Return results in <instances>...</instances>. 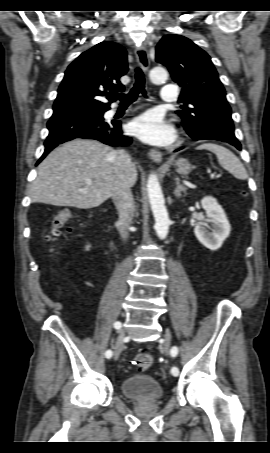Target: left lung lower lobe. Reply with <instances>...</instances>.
I'll list each match as a JSON object with an SVG mask.
<instances>
[{
	"instance_id": "obj_1",
	"label": "left lung lower lobe",
	"mask_w": 270,
	"mask_h": 453,
	"mask_svg": "<svg viewBox=\"0 0 270 453\" xmlns=\"http://www.w3.org/2000/svg\"><path fill=\"white\" fill-rule=\"evenodd\" d=\"M184 129L187 131L188 135L194 140H205V139L219 140V141L227 142V143L233 145L234 147H236L238 150H241V144L239 143V141L237 139L224 138V137L216 135V134L206 133L205 131H202L199 129H192V128H187V127H184Z\"/></svg>"
}]
</instances>
